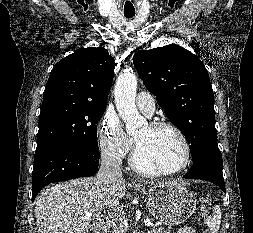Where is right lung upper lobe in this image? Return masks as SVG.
Segmentation results:
<instances>
[{
  "mask_svg": "<svg viewBox=\"0 0 253 233\" xmlns=\"http://www.w3.org/2000/svg\"><path fill=\"white\" fill-rule=\"evenodd\" d=\"M115 64L103 47L77 50L53 67L42 104L51 101L106 104Z\"/></svg>",
  "mask_w": 253,
  "mask_h": 233,
  "instance_id": "obj_1",
  "label": "right lung upper lobe"
}]
</instances>
